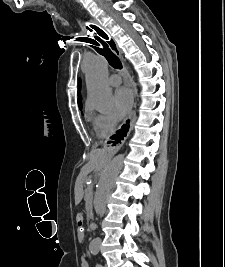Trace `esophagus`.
Wrapping results in <instances>:
<instances>
[{
	"label": "esophagus",
	"mask_w": 225,
	"mask_h": 267,
	"mask_svg": "<svg viewBox=\"0 0 225 267\" xmlns=\"http://www.w3.org/2000/svg\"><path fill=\"white\" fill-rule=\"evenodd\" d=\"M97 27H99L101 30H103L106 33V35L108 36L107 40H108V43H109V46H110L111 50H113L119 56V58H120V60L122 62V66H123L125 84H126V86H128L130 88V92H131V95H132V107H131V110H130V112L128 114V117H127V119L125 121L126 128H125V132H124V139L120 143H118L116 145H108L106 143L104 145V148H103L105 153H107L108 155L112 156L120 149V147L124 143L126 137L129 135V133H130V131L132 129V126L134 124V119H135L134 108L136 106L135 101H134V99H135V89H134V87H133V85L131 83L127 66H126V64H125V62L123 60V57L121 56V54L119 52V49H118V46H117L116 42L110 37V35L107 33V31L105 29H103L100 26H97Z\"/></svg>",
	"instance_id": "obj_1"
}]
</instances>
